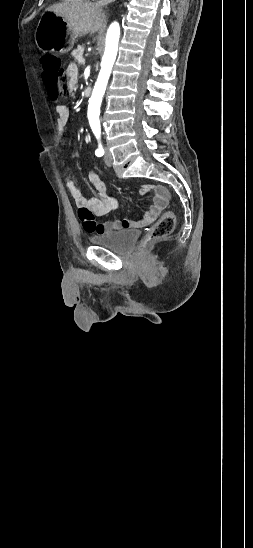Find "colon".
Here are the masks:
<instances>
[{
	"instance_id": "colon-1",
	"label": "colon",
	"mask_w": 253,
	"mask_h": 548,
	"mask_svg": "<svg viewBox=\"0 0 253 548\" xmlns=\"http://www.w3.org/2000/svg\"><path fill=\"white\" fill-rule=\"evenodd\" d=\"M45 72L43 75L44 89L49 91L50 98L55 99L58 95L68 96L71 91L70 79L65 71L61 69L60 62L53 56H45L42 59ZM175 227V217L171 212H165L151 227L140 248L147 247L150 243L169 235Z\"/></svg>"
}]
</instances>
